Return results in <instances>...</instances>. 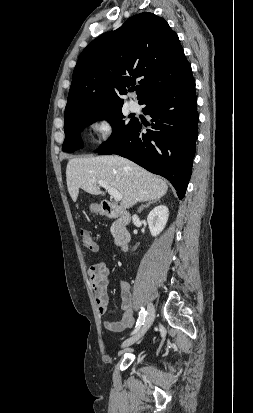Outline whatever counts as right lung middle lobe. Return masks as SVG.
Wrapping results in <instances>:
<instances>
[{
	"mask_svg": "<svg viewBox=\"0 0 253 413\" xmlns=\"http://www.w3.org/2000/svg\"><path fill=\"white\" fill-rule=\"evenodd\" d=\"M122 107L109 108L97 111H88L70 118L64 123L65 140L62 146L64 152H74L83 148L81 131L99 119H107L113 128L111 137L104 142L96 152L115 142L126 132L135 122L130 120L128 124L123 120Z\"/></svg>",
	"mask_w": 253,
	"mask_h": 413,
	"instance_id": "1",
	"label": "right lung middle lobe"
}]
</instances>
